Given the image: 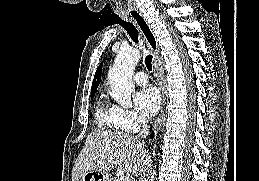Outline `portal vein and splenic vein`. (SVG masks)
Returning a JSON list of instances; mask_svg holds the SVG:
<instances>
[{
    "mask_svg": "<svg viewBox=\"0 0 259 181\" xmlns=\"http://www.w3.org/2000/svg\"><path fill=\"white\" fill-rule=\"evenodd\" d=\"M119 181H130V177L129 176H121L119 178Z\"/></svg>",
    "mask_w": 259,
    "mask_h": 181,
    "instance_id": "1",
    "label": "portal vein and splenic vein"
}]
</instances>
